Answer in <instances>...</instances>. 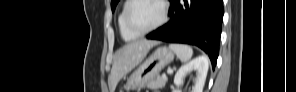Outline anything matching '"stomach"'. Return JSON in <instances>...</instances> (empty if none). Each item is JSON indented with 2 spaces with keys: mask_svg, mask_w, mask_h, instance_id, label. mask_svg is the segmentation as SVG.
Returning <instances> with one entry per match:
<instances>
[{
  "mask_svg": "<svg viewBox=\"0 0 296 92\" xmlns=\"http://www.w3.org/2000/svg\"><path fill=\"white\" fill-rule=\"evenodd\" d=\"M174 59V53L167 47L157 48L128 78L127 91L140 90L156 78L160 71Z\"/></svg>",
  "mask_w": 296,
  "mask_h": 92,
  "instance_id": "0dacf381",
  "label": "stomach"
}]
</instances>
